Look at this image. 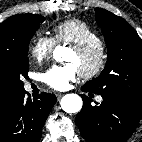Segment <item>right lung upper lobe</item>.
I'll return each instance as SVG.
<instances>
[{"label":"right lung upper lobe","instance_id":"1","mask_svg":"<svg viewBox=\"0 0 142 142\" xmlns=\"http://www.w3.org/2000/svg\"><path fill=\"white\" fill-rule=\"evenodd\" d=\"M28 14L15 15L0 24V46L12 39ZM17 92L0 90V116L17 96Z\"/></svg>","mask_w":142,"mask_h":142}]
</instances>
